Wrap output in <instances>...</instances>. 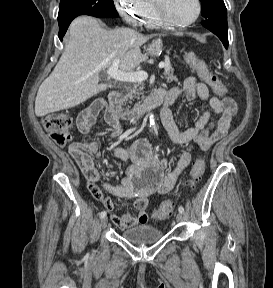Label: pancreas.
<instances>
[{
  "mask_svg": "<svg viewBox=\"0 0 273 288\" xmlns=\"http://www.w3.org/2000/svg\"><path fill=\"white\" fill-rule=\"evenodd\" d=\"M164 78L167 83H171L172 81H176L177 77L174 75V69L171 65H166L164 69ZM143 83L137 82L130 84L126 87L125 94L122 98V102L126 103L129 101L130 103L133 102V99H140V96L143 97Z\"/></svg>",
  "mask_w": 273,
  "mask_h": 288,
  "instance_id": "obj_1",
  "label": "pancreas"
}]
</instances>
